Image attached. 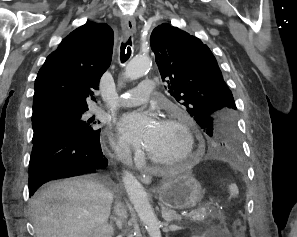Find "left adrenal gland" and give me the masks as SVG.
<instances>
[{
  "instance_id": "1",
  "label": "left adrenal gland",
  "mask_w": 297,
  "mask_h": 237,
  "mask_svg": "<svg viewBox=\"0 0 297 237\" xmlns=\"http://www.w3.org/2000/svg\"><path fill=\"white\" fill-rule=\"evenodd\" d=\"M162 218L167 221L171 222L173 220H181V216L176 213L174 210H168L165 207H161Z\"/></svg>"
}]
</instances>
